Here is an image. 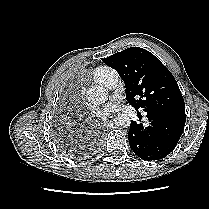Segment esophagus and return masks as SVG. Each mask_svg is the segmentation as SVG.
Wrapping results in <instances>:
<instances>
[{
    "mask_svg": "<svg viewBox=\"0 0 209 209\" xmlns=\"http://www.w3.org/2000/svg\"><path fill=\"white\" fill-rule=\"evenodd\" d=\"M112 119H108L106 122H104L103 124L106 125L107 123L111 122Z\"/></svg>",
    "mask_w": 209,
    "mask_h": 209,
    "instance_id": "34e87169",
    "label": "esophagus"
}]
</instances>
